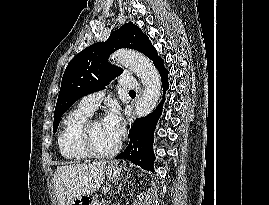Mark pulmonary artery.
Here are the masks:
<instances>
[{"label": "pulmonary artery", "instance_id": "1", "mask_svg": "<svg viewBox=\"0 0 269 205\" xmlns=\"http://www.w3.org/2000/svg\"><path fill=\"white\" fill-rule=\"evenodd\" d=\"M119 86L122 89L133 90L138 87V82L132 76H123L119 79ZM103 96H104L103 91H98L89 94L80 100L79 106L87 110L88 112L93 113L97 109L100 100L102 99Z\"/></svg>", "mask_w": 269, "mask_h": 205}]
</instances>
